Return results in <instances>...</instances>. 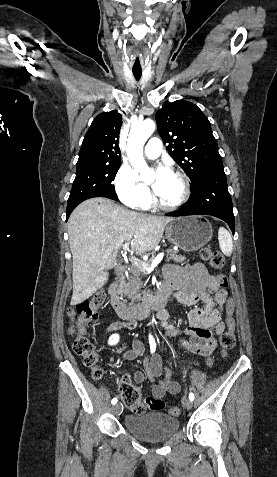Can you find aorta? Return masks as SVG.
I'll return each instance as SVG.
<instances>
[{"label":"aorta","mask_w":277,"mask_h":477,"mask_svg":"<svg viewBox=\"0 0 277 477\" xmlns=\"http://www.w3.org/2000/svg\"><path fill=\"white\" fill-rule=\"evenodd\" d=\"M154 131L155 123L147 119L133 124L128 138V159L132 166L141 174L144 182H151L153 180L152 172L149 170L143 157V147Z\"/></svg>","instance_id":"1"}]
</instances>
